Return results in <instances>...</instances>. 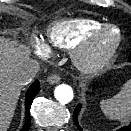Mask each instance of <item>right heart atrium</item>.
<instances>
[{
	"label": "right heart atrium",
	"instance_id": "d8ad5b80",
	"mask_svg": "<svg viewBox=\"0 0 131 131\" xmlns=\"http://www.w3.org/2000/svg\"><path fill=\"white\" fill-rule=\"evenodd\" d=\"M34 49L37 55L46 56L48 54L47 47L38 40H36L34 43Z\"/></svg>",
	"mask_w": 131,
	"mask_h": 131
}]
</instances>
